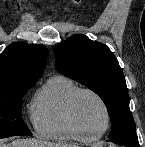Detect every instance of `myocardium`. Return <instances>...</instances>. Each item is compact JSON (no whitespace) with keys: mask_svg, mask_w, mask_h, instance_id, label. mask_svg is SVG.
Segmentation results:
<instances>
[{"mask_svg":"<svg viewBox=\"0 0 145 147\" xmlns=\"http://www.w3.org/2000/svg\"><path fill=\"white\" fill-rule=\"evenodd\" d=\"M83 93L92 95L100 103V105L102 106L104 110L106 122H105L104 128L99 133L88 134L87 132H85L77 118V115L75 112V104L79 95ZM67 115L74 129L79 134H81L87 141L100 139L106 134V132L109 130L111 125V112L106 101L103 99V97L99 93H97L96 91L90 88H78L71 94V96L69 97L67 101Z\"/></svg>","mask_w":145,"mask_h":147,"instance_id":"obj_1","label":"myocardium"}]
</instances>
